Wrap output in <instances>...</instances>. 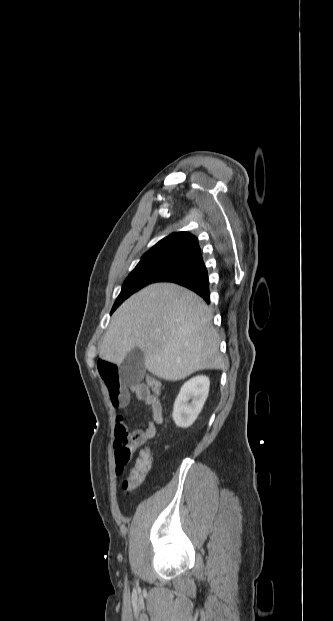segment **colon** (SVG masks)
<instances>
[{"label":"colon","mask_w":333,"mask_h":621,"mask_svg":"<svg viewBox=\"0 0 333 621\" xmlns=\"http://www.w3.org/2000/svg\"><path fill=\"white\" fill-rule=\"evenodd\" d=\"M146 381L149 387L151 388V390L153 391V393L159 395L161 392V388H162L161 382L153 376H149L146 379ZM150 468H151V452L148 448H145L139 452V455L134 463V466L132 467L128 476L125 478L124 488L129 492L137 488L145 479Z\"/></svg>","instance_id":"5ec220e1"}]
</instances>
